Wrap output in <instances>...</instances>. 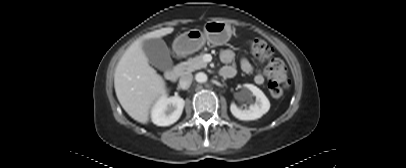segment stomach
Instances as JSON below:
<instances>
[{"instance_id": "obj_1", "label": "stomach", "mask_w": 406, "mask_h": 168, "mask_svg": "<svg viewBox=\"0 0 406 168\" xmlns=\"http://www.w3.org/2000/svg\"><path fill=\"white\" fill-rule=\"evenodd\" d=\"M231 26L222 21H208L203 31L191 29L178 36L173 44L177 54L188 55L200 50L204 44L223 45L231 38Z\"/></svg>"}]
</instances>
